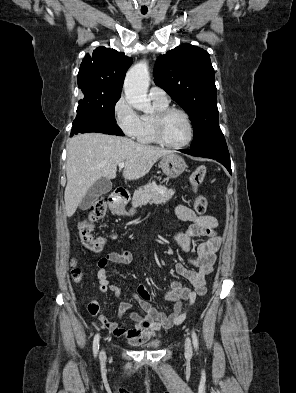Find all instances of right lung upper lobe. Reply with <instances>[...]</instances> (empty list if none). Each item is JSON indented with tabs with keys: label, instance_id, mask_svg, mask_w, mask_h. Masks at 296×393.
I'll return each mask as SVG.
<instances>
[{
	"label": "right lung upper lobe",
	"instance_id": "cb5924a9",
	"mask_svg": "<svg viewBox=\"0 0 296 393\" xmlns=\"http://www.w3.org/2000/svg\"><path fill=\"white\" fill-rule=\"evenodd\" d=\"M132 58L115 49L103 46L92 55H85L78 73V86L84 96H108L120 94L127 69Z\"/></svg>",
	"mask_w": 296,
	"mask_h": 393
}]
</instances>
